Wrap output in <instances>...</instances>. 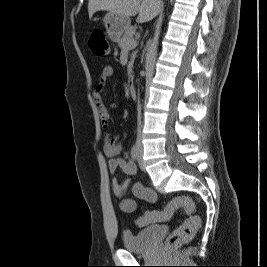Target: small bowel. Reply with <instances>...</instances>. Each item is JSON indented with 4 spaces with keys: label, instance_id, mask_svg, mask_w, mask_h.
Masks as SVG:
<instances>
[{
    "label": "small bowel",
    "instance_id": "small-bowel-1",
    "mask_svg": "<svg viewBox=\"0 0 267 267\" xmlns=\"http://www.w3.org/2000/svg\"><path fill=\"white\" fill-rule=\"evenodd\" d=\"M113 68L111 66H105L99 76V83L94 90L93 98L98 110V114L103 127H107L110 114L108 108L103 102L102 95L104 92V86L106 81L113 75ZM112 108L116 107V104L110 105ZM122 145L118 137L106 134L104 136L103 151L108 158V168L111 173H115L118 169H121L126 175H135L137 172L136 164L128 158V156L121 157ZM130 186L128 180L113 179L112 190L114 194L121 198L120 208L125 213H133L137 210L138 203L135 198L145 200L149 203H155L157 200V194L150 188L145 187L143 184L136 182L132 185L131 191L135 198H125V194Z\"/></svg>",
    "mask_w": 267,
    "mask_h": 267
}]
</instances>
